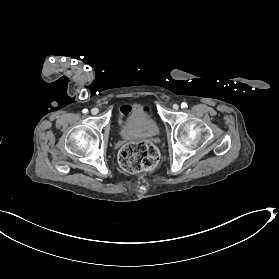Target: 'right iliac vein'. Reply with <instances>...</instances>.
<instances>
[{
	"instance_id": "obj_1",
	"label": "right iliac vein",
	"mask_w": 279,
	"mask_h": 279,
	"mask_svg": "<svg viewBox=\"0 0 279 279\" xmlns=\"http://www.w3.org/2000/svg\"><path fill=\"white\" fill-rule=\"evenodd\" d=\"M99 112V110L97 108H93L91 110V114L96 115Z\"/></svg>"
}]
</instances>
